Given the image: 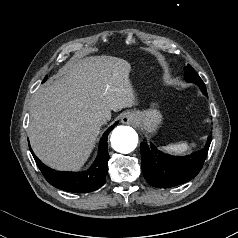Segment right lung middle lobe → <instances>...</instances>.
Listing matches in <instances>:
<instances>
[{"mask_svg":"<svg viewBox=\"0 0 238 238\" xmlns=\"http://www.w3.org/2000/svg\"><path fill=\"white\" fill-rule=\"evenodd\" d=\"M46 79H47V76L44 78L43 82H45V81H46Z\"/></svg>","mask_w":238,"mask_h":238,"instance_id":"right-lung-middle-lobe-1","label":"right lung middle lobe"}]
</instances>
